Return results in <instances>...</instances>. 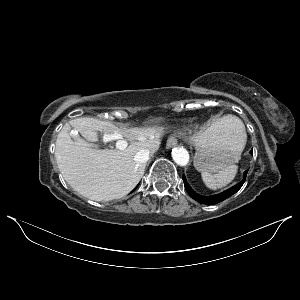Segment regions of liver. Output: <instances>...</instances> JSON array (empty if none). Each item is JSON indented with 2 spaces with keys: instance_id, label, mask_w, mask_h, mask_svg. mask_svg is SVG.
<instances>
[{
  "instance_id": "1",
  "label": "liver",
  "mask_w": 300,
  "mask_h": 300,
  "mask_svg": "<svg viewBox=\"0 0 300 300\" xmlns=\"http://www.w3.org/2000/svg\"><path fill=\"white\" fill-rule=\"evenodd\" d=\"M70 125L83 139H72ZM96 131L104 137L120 134L130 141L124 150L100 149ZM163 128H119L94 118L81 117L70 121L58 134L55 157L67 183L82 196L94 201H110L127 195L141 180L146 163L134 160L141 149L154 153L160 145Z\"/></svg>"
}]
</instances>
